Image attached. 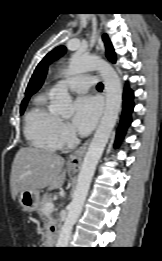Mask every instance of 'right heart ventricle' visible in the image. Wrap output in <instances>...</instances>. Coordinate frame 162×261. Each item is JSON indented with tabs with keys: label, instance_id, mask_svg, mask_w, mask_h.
Listing matches in <instances>:
<instances>
[{
	"label": "right heart ventricle",
	"instance_id": "e07e8e85",
	"mask_svg": "<svg viewBox=\"0 0 162 261\" xmlns=\"http://www.w3.org/2000/svg\"><path fill=\"white\" fill-rule=\"evenodd\" d=\"M58 116L47 107L44 95L35 97L25 116V136L30 144L44 150L58 148L56 125Z\"/></svg>",
	"mask_w": 162,
	"mask_h": 261
}]
</instances>
